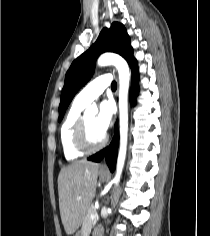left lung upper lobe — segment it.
I'll use <instances>...</instances> for the list:
<instances>
[{
    "mask_svg": "<svg viewBox=\"0 0 210 236\" xmlns=\"http://www.w3.org/2000/svg\"><path fill=\"white\" fill-rule=\"evenodd\" d=\"M105 51L120 54L127 60L132 70L137 67L130 45V37L125 27L114 22L110 29L104 28L97 41L71 64L65 76V83L61 93L59 105V122L62 120L66 108L76 92L92 77L97 57Z\"/></svg>",
    "mask_w": 210,
    "mask_h": 236,
    "instance_id": "left-lung-upper-lobe-1",
    "label": "left lung upper lobe"
}]
</instances>
